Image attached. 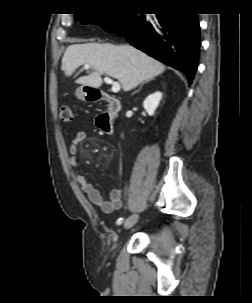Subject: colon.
I'll use <instances>...</instances> for the list:
<instances>
[{"label":"colon","instance_id":"obj_1","mask_svg":"<svg viewBox=\"0 0 252 303\" xmlns=\"http://www.w3.org/2000/svg\"><path fill=\"white\" fill-rule=\"evenodd\" d=\"M60 119L62 122L71 123L73 121V111L70 106L63 105L60 109Z\"/></svg>","mask_w":252,"mask_h":303}]
</instances>
